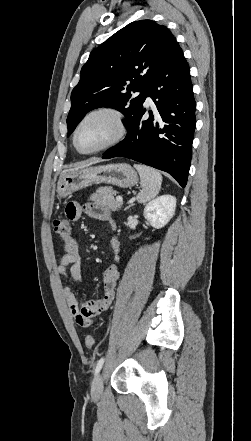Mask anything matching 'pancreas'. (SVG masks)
Segmentation results:
<instances>
[{
  "label": "pancreas",
  "mask_w": 251,
  "mask_h": 441,
  "mask_svg": "<svg viewBox=\"0 0 251 441\" xmlns=\"http://www.w3.org/2000/svg\"><path fill=\"white\" fill-rule=\"evenodd\" d=\"M115 191L111 187H100L90 196V200L113 212L118 211L122 204L114 198Z\"/></svg>",
  "instance_id": "1"
}]
</instances>
